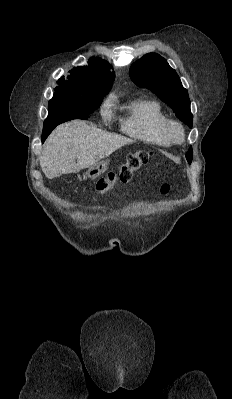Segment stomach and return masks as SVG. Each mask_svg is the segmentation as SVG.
Wrapping results in <instances>:
<instances>
[{
  "mask_svg": "<svg viewBox=\"0 0 232 399\" xmlns=\"http://www.w3.org/2000/svg\"><path fill=\"white\" fill-rule=\"evenodd\" d=\"M109 162L107 160H103V162H96V164H93L89 170H87L85 176L86 178H91V180H94V178H98L100 174H104L106 170H108Z\"/></svg>",
  "mask_w": 232,
  "mask_h": 399,
  "instance_id": "obj_1",
  "label": "stomach"
}]
</instances>
